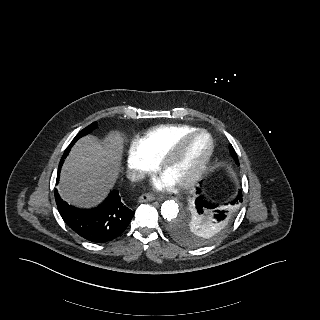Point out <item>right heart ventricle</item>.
Here are the masks:
<instances>
[{"label":"right heart ventricle","mask_w":320,"mask_h":320,"mask_svg":"<svg viewBox=\"0 0 320 320\" xmlns=\"http://www.w3.org/2000/svg\"><path fill=\"white\" fill-rule=\"evenodd\" d=\"M196 128L185 125H160L145 132L135 142L137 148L149 159L158 162L185 133Z\"/></svg>","instance_id":"1"}]
</instances>
